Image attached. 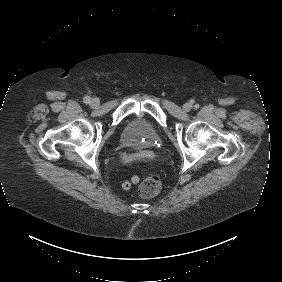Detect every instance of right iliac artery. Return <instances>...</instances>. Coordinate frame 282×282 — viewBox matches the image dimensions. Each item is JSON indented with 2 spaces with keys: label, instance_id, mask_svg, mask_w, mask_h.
Segmentation results:
<instances>
[{
  "label": "right iliac artery",
  "instance_id": "right-iliac-artery-1",
  "mask_svg": "<svg viewBox=\"0 0 282 282\" xmlns=\"http://www.w3.org/2000/svg\"><path fill=\"white\" fill-rule=\"evenodd\" d=\"M84 102H85L86 104L90 103V97L86 96V97L84 98Z\"/></svg>",
  "mask_w": 282,
  "mask_h": 282
}]
</instances>
